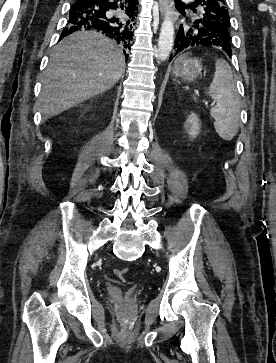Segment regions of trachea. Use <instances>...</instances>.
<instances>
[{"instance_id":"3493384b","label":"trachea","mask_w":276,"mask_h":363,"mask_svg":"<svg viewBox=\"0 0 276 363\" xmlns=\"http://www.w3.org/2000/svg\"><path fill=\"white\" fill-rule=\"evenodd\" d=\"M176 4H180V5H185L183 2H181L180 0H175Z\"/></svg>"}]
</instances>
